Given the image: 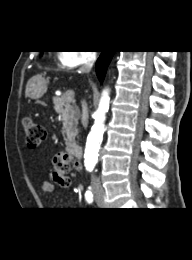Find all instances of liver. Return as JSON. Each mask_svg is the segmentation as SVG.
<instances>
[{
	"label": "liver",
	"mask_w": 192,
	"mask_h": 260,
	"mask_svg": "<svg viewBox=\"0 0 192 260\" xmlns=\"http://www.w3.org/2000/svg\"><path fill=\"white\" fill-rule=\"evenodd\" d=\"M26 96H28V94H27V89H26Z\"/></svg>",
	"instance_id": "6515ba94"
}]
</instances>
